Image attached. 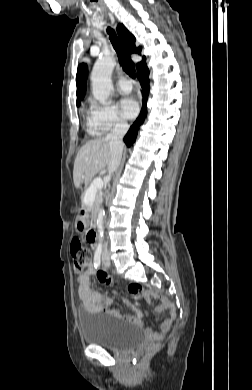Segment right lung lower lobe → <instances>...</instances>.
Segmentation results:
<instances>
[{"instance_id":"98d812e1","label":"right lung lower lobe","mask_w":252,"mask_h":390,"mask_svg":"<svg viewBox=\"0 0 252 390\" xmlns=\"http://www.w3.org/2000/svg\"><path fill=\"white\" fill-rule=\"evenodd\" d=\"M148 75H149V70H148L147 66L143 67L142 69H140L137 72V77H138V80H139L141 87H142V96H143L142 109H141V112H140L138 118L133 123V125L130 127L127 134L124 136L123 140L127 144V146H131L135 142L139 128L144 123V120L147 117L146 103H147L148 94H149Z\"/></svg>"}]
</instances>
